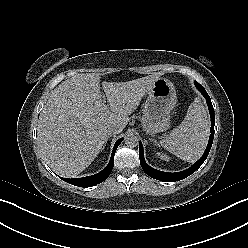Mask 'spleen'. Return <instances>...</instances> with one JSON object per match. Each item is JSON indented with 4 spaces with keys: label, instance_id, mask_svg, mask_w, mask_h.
I'll return each instance as SVG.
<instances>
[{
    "label": "spleen",
    "instance_id": "obj_1",
    "mask_svg": "<svg viewBox=\"0 0 248 248\" xmlns=\"http://www.w3.org/2000/svg\"><path fill=\"white\" fill-rule=\"evenodd\" d=\"M196 98L181 124L160 141L170 153L188 162L196 161L206 148L210 123L205 107Z\"/></svg>",
    "mask_w": 248,
    "mask_h": 248
}]
</instances>
